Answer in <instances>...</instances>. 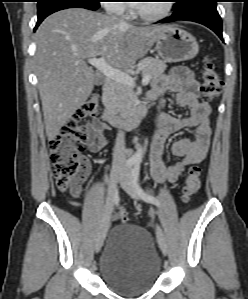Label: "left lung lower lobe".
<instances>
[{"instance_id": "left-lung-lower-lobe-1", "label": "left lung lower lobe", "mask_w": 248, "mask_h": 299, "mask_svg": "<svg viewBox=\"0 0 248 299\" xmlns=\"http://www.w3.org/2000/svg\"><path fill=\"white\" fill-rule=\"evenodd\" d=\"M217 0H202L189 4L185 9L179 6V1L173 7L174 13L161 23H168L176 20L193 21L203 24L214 31L220 39L222 37V21L216 9Z\"/></svg>"}]
</instances>
